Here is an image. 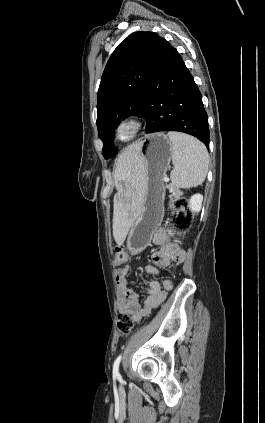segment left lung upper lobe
I'll return each mask as SVG.
<instances>
[{"instance_id":"5c2ea615","label":"left lung upper lobe","mask_w":265,"mask_h":423,"mask_svg":"<svg viewBox=\"0 0 265 423\" xmlns=\"http://www.w3.org/2000/svg\"><path fill=\"white\" fill-rule=\"evenodd\" d=\"M163 38L134 32L114 50L103 72L97 102V128L104 157H114V130L121 119L138 115L142 95L156 63Z\"/></svg>"}]
</instances>
